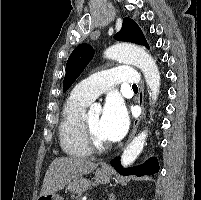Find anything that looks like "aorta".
<instances>
[{
    "mask_svg": "<svg viewBox=\"0 0 201 200\" xmlns=\"http://www.w3.org/2000/svg\"><path fill=\"white\" fill-rule=\"evenodd\" d=\"M104 56L138 67L144 74L152 102L157 100L160 91V73L156 62L144 49L120 43L106 49ZM146 138L147 130H144L129 143L121 156L123 166H129L135 161L144 147Z\"/></svg>",
    "mask_w": 201,
    "mask_h": 200,
    "instance_id": "obj_1",
    "label": "aorta"
}]
</instances>
